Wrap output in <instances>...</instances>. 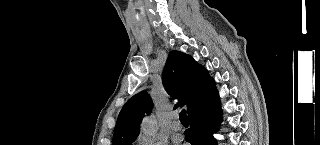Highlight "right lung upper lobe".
I'll return each instance as SVG.
<instances>
[{
  "label": "right lung upper lobe",
  "mask_w": 320,
  "mask_h": 145,
  "mask_svg": "<svg viewBox=\"0 0 320 145\" xmlns=\"http://www.w3.org/2000/svg\"><path fill=\"white\" fill-rule=\"evenodd\" d=\"M167 93L180 99L178 105H186L189 114L202 105L213 81L207 70L182 52L171 51L162 73ZM152 109V100L146 91L129 99L117 119L112 145H130L139 134L144 114Z\"/></svg>",
  "instance_id": "cb5924a9"
}]
</instances>
